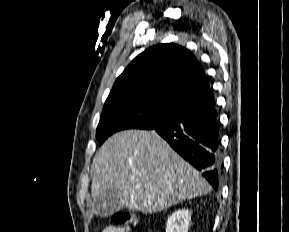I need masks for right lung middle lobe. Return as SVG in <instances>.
I'll use <instances>...</instances> for the list:
<instances>
[{"instance_id": "1", "label": "right lung middle lobe", "mask_w": 289, "mask_h": 232, "mask_svg": "<svg viewBox=\"0 0 289 232\" xmlns=\"http://www.w3.org/2000/svg\"><path fill=\"white\" fill-rule=\"evenodd\" d=\"M180 109L143 97L108 98L96 131L100 145L124 129H154L175 119Z\"/></svg>"}]
</instances>
